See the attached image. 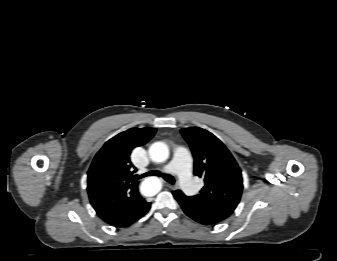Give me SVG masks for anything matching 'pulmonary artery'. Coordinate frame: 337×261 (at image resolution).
Wrapping results in <instances>:
<instances>
[{
    "label": "pulmonary artery",
    "instance_id": "1",
    "mask_svg": "<svg viewBox=\"0 0 337 261\" xmlns=\"http://www.w3.org/2000/svg\"><path fill=\"white\" fill-rule=\"evenodd\" d=\"M191 164L192 158L189 150L180 146L175 149L170 163L162 169L165 173L177 175L180 186L187 195H193L196 191L191 178Z\"/></svg>",
    "mask_w": 337,
    "mask_h": 261
}]
</instances>
